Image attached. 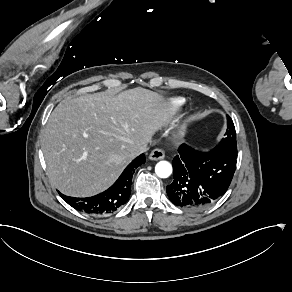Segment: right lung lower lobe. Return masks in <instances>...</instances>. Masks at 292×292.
Wrapping results in <instances>:
<instances>
[{"mask_svg":"<svg viewBox=\"0 0 292 292\" xmlns=\"http://www.w3.org/2000/svg\"><path fill=\"white\" fill-rule=\"evenodd\" d=\"M143 163H145V155L141 154L126 167L110 188L95 196L76 198L59 194L70 206L78 211L90 215L112 213L128 201L131 194L132 175L135 169Z\"/></svg>","mask_w":292,"mask_h":292,"instance_id":"98d812e1","label":"right lung lower lobe"}]
</instances>
